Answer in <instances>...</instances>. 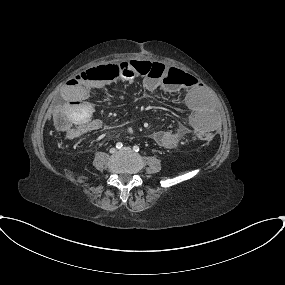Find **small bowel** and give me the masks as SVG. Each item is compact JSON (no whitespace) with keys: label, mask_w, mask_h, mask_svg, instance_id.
I'll list each match as a JSON object with an SVG mask.
<instances>
[{"label":"small bowel","mask_w":285,"mask_h":285,"mask_svg":"<svg viewBox=\"0 0 285 285\" xmlns=\"http://www.w3.org/2000/svg\"><path fill=\"white\" fill-rule=\"evenodd\" d=\"M105 66H95L90 69H98ZM190 77L187 84L167 86L159 80L146 78L143 80L144 88L149 92L160 89L164 91L179 94L183 96L184 105L189 111V125H180L172 130H159L151 134L153 141L162 148L171 149L189 133H213L217 129V120L215 116L206 108L207 94L203 87H200ZM119 77L114 72H105L100 79H87L77 76L69 80L62 88L63 103L55 106L54 111L58 109L73 110L75 120V130L69 134L70 137H79L87 132L100 129L103 123L98 118H91L93 107L88 101V95L91 90L103 88L118 80Z\"/></svg>","instance_id":"small-bowel-1"}]
</instances>
